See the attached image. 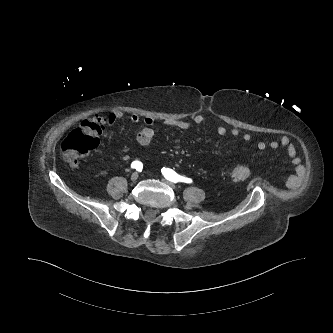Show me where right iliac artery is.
Here are the masks:
<instances>
[{
  "label": "right iliac artery",
  "mask_w": 333,
  "mask_h": 333,
  "mask_svg": "<svg viewBox=\"0 0 333 333\" xmlns=\"http://www.w3.org/2000/svg\"><path fill=\"white\" fill-rule=\"evenodd\" d=\"M131 168L136 169L137 171H142L143 164L140 161L135 160V161L132 162Z\"/></svg>",
  "instance_id": "1"
}]
</instances>
